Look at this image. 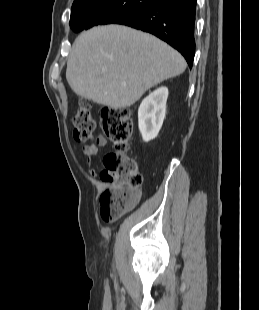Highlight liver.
Listing matches in <instances>:
<instances>
[{"mask_svg": "<svg viewBox=\"0 0 259 310\" xmlns=\"http://www.w3.org/2000/svg\"><path fill=\"white\" fill-rule=\"evenodd\" d=\"M185 69L182 55L157 37L126 26L107 25L76 38L66 79L78 96L123 109Z\"/></svg>", "mask_w": 259, "mask_h": 310, "instance_id": "liver-1", "label": "liver"}]
</instances>
